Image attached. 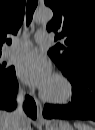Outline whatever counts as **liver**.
<instances>
[{
    "mask_svg": "<svg viewBox=\"0 0 95 130\" xmlns=\"http://www.w3.org/2000/svg\"><path fill=\"white\" fill-rule=\"evenodd\" d=\"M22 130H31V121L25 117L21 124ZM0 130H13V120L11 113L0 111Z\"/></svg>",
    "mask_w": 95,
    "mask_h": 130,
    "instance_id": "liver-1",
    "label": "liver"
}]
</instances>
